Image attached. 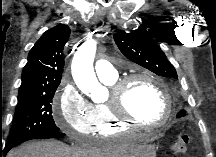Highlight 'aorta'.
Wrapping results in <instances>:
<instances>
[{"mask_svg":"<svg viewBox=\"0 0 216 157\" xmlns=\"http://www.w3.org/2000/svg\"><path fill=\"white\" fill-rule=\"evenodd\" d=\"M96 53V42L87 40L76 51L72 60V76L77 87L92 100L98 101L104 98L105 89L98 82L93 61Z\"/></svg>","mask_w":216,"mask_h":157,"instance_id":"obj_1","label":"aorta"}]
</instances>
